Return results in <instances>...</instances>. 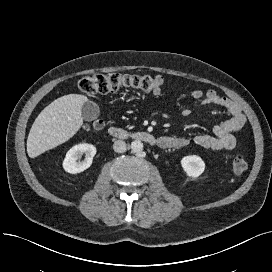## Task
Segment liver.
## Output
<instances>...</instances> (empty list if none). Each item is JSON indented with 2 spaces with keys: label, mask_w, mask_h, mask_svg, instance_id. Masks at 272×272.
<instances>
[{
  "label": "liver",
  "mask_w": 272,
  "mask_h": 272,
  "mask_svg": "<svg viewBox=\"0 0 272 272\" xmlns=\"http://www.w3.org/2000/svg\"><path fill=\"white\" fill-rule=\"evenodd\" d=\"M84 95L62 96L45 107L35 119L27 139V153L35 158L72 138L83 124Z\"/></svg>",
  "instance_id": "liver-1"
}]
</instances>
